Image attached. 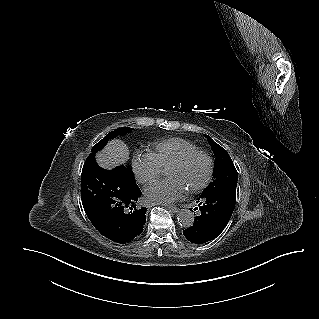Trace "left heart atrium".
<instances>
[{
  "label": "left heart atrium",
  "instance_id": "left-heart-atrium-1",
  "mask_svg": "<svg viewBox=\"0 0 319 319\" xmlns=\"http://www.w3.org/2000/svg\"><path fill=\"white\" fill-rule=\"evenodd\" d=\"M186 191L187 187L182 181L168 178L146 188L144 197L149 204H168L182 198Z\"/></svg>",
  "mask_w": 319,
  "mask_h": 319
}]
</instances>
